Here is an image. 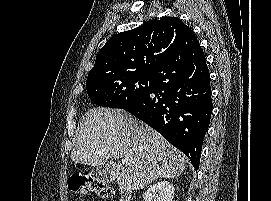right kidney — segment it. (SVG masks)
<instances>
[{
    "label": "right kidney",
    "instance_id": "obj_1",
    "mask_svg": "<svg viewBox=\"0 0 271 201\" xmlns=\"http://www.w3.org/2000/svg\"><path fill=\"white\" fill-rule=\"evenodd\" d=\"M174 186L167 181L157 182L146 190L143 201H173Z\"/></svg>",
    "mask_w": 271,
    "mask_h": 201
}]
</instances>
